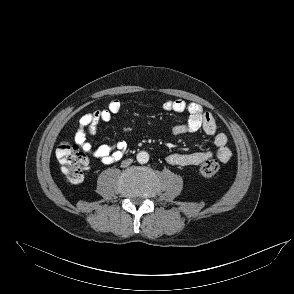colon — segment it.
Returning a JSON list of instances; mask_svg holds the SVG:
<instances>
[{
	"label": "colon",
	"mask_w": 294,
	"mask_h": 294,
	"mask_svg": "<svg viewBox=\"0 0 294 294\" xmlns=\"http://www.w3.org/2000/svg\"><path fill=\"white\" fill-rule=\"evenodd\" d=\"M56 157L69 182L77 184L83 180L88 161L78 146L68 141L61 142L56 149ZM219 168L220 165L216 159L207 158L200 164L199 171L203 177L210 178L218 173Z\"/></svg>",
	"instance_id": "5ec220e1"
}]
</instances>
